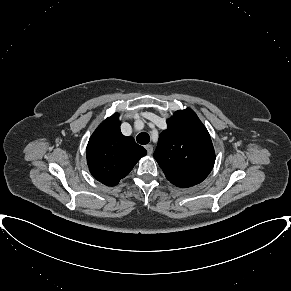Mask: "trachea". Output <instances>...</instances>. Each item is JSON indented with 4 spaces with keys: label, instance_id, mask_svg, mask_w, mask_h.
<instances>
[{
    "label": "trachea",
    "instance_id": "obj_1",
    "mask_svg": "<svg viewBox=\"0 0 291 291\" xmlns=\"http://www.w3.org/2000/svg\"><path fill=\"white\" fill-rule=\"evenodd\" d=\"M136 140L139 144L146 145L150 141V136L145 132H141L137 135Z\"/></svg>",
    "mask_w": 291,
    "mask_h": 291
}]
</instances>
